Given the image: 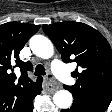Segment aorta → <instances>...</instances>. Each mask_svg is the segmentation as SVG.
<instances>
[{
	"label": "aorta",
	"instance_id": "1",
	"mask_svg": "<svg viewBox=\"0 0 112 112\" xmlns=\"http://www.w3.org/2000/svg\"><path fill=\"white\" fill-rule=\"evenodd\" d=\"M30 48L35 55L48 59L54 54L52 42L43 35H35L30 39ZM72 94L67 90H59L53 96L54 104L60 109H67L72 105Z\"/></svg>",
	"mask_w": 112,
	"mask_h": 112
}]
</instances>
